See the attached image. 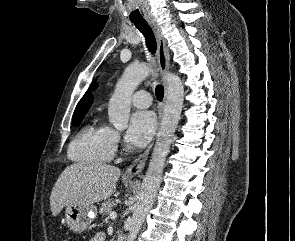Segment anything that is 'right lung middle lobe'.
Returning <instances> with one entry per match:
<instances>
[{
	"mask_svg": "<svg viewBox=\"0 0 295 241\" xmlns=\"http://www.w3.org/2000/svg\"><path fill=\"white\" fill-rule=\"evenodd\" d=\"M83 117L84 115L73 117V126H78L81 123Z\"/></svg>",
	"mask_w": 295,
	"mask_h": 241,
	"instance_id": "1",
	"label": "right lung middle lobe"
}]
</instances>
